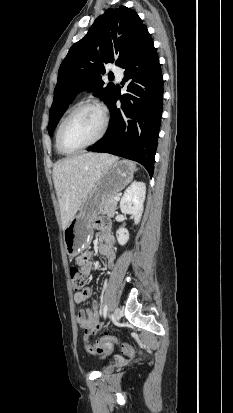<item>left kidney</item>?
Wrapping results in <instances>:
<instances>
[{
    "label": "left kidney",
    "mask_w": 233,
    "mask_h": 413,
    "mask_svg": "<svg viewBox=\"0 0 233 413\" xmlns=\"http://www.w3.org/2000/svg\"><path fill=\"white\" fill-rule=\"evenodd\" d=\"M146 194V185L144 182H133L125 191L120 201V210L124 214H131L134 217V223L140 222ZM116 237L120 245H125L129 240V232L125 228H119Z\"/></svg>",
    "instance_id": "5707ae66"
}]
</instances>
